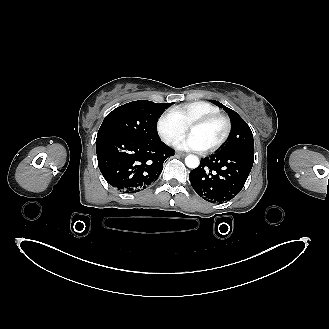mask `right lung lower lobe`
Instances as JSON below:
<instances>
[{"label": "right lung lower lobe", "mask_w": 329, "mask_h": 329, "mask_svg": "<svg viewBox=\"0 0 329 329\" xmlns=\"http://www.w3.org/2000/svg\"><path fill=\"white\" fill-rule=\"evenodd\" d=\"M99 169L106 181L123 193H136L153 184L174 151L161 140L103 134L97 136Z\"/></svg>", "instance_id": "1"}]
</instances>
